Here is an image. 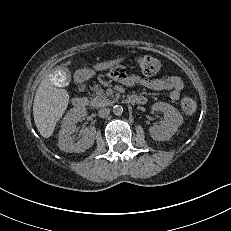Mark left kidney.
Segmentation results:
<instances>
[{"label": "left kidney", "instance_id": "left-kidney-1", "mask_svg": "<svg viewBox=\"0 0 231 231\" xmlns=\"http://www.w3.org/2000/svg\"><path fill=\"white\" fill-rule=\"evenodd\" d=\"M152 110L163 113L164 121L159 126L149 128L151 137L157 141L169 140L182 125V115L175 107L165 102L153 104Z\"/></svg>", "mask_w": 231, "mask_h": 231}]
</instances>
